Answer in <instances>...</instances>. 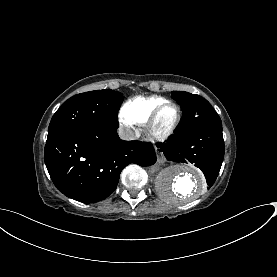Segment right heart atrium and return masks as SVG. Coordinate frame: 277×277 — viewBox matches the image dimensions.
I'll list each match as a JSON object with an SVG mask.
<instances>
[{
    "label": "right heart atrium",
    "mask_w": 277,
    "mask_h": 277,
    "mask_svg": "<svg viewBox=\"0 0 277 277\" xmlns=\"http://www.w3.org/2000/svg\"><path fill=\"white\" fill-rule=\"evenodd\" d=\"M124 125L127 127V128H130L132 127V123L131 122H128V121H124Z\"/></svg>",
    "instance_id": "obj_1"
}]
</instances>
